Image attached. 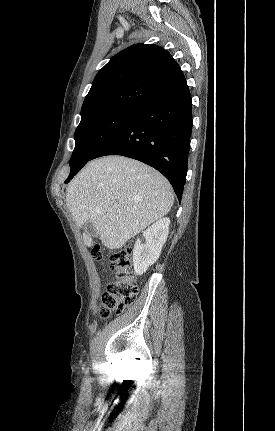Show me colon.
Segmentation results:
<instances>
[{
	"mask_svg": "<svg viewBox=\"0 0 275 431\" xmlns=\"http://www.w3.org/2000/svg\"><path fill=\"white\" fill-rule=\"evenodd\" d=\"M92 254L97 259H101L100 247L95 246ZM131 254L129 248H122L111 253L109 257L114 279L108 284L101 297L99 316L102 319L108 318L111 313L123 312L137 297L138 286L131 270Z\"/></svg>",
	"mask_w": 275,
	"mask_h": 431,
	"instance_id": "obj_1",
	"label": "colon"
}]
</instances>
